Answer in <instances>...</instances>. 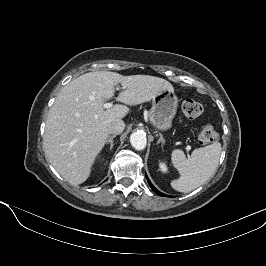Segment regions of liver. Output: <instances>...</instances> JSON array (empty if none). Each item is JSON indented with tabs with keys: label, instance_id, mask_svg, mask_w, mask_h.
Here are the masks:
<instances>
[{
	"label": "liver",
	"instance_id": "1",
	"mask_svg": "<svg viewBox=\"0 0 266 266\" xmlns=\"http://www.w3.org/2000/svg\"><path fill=\"white\" fill-rule=\"evenodd\" d=\"M123 91L117 100L137 105L153 99L164 90L174 91L170 82L149 75L123 76L116 72L85 73L65 85L57 95L46 119L43 148L58 173L70 184L85 182L96 157L108 139V124L125 117L129 109L104 102L115 94V85Z\"/></svg>",
	"mask_w": 266,
	"mask_h": 266
}]
</instances>
